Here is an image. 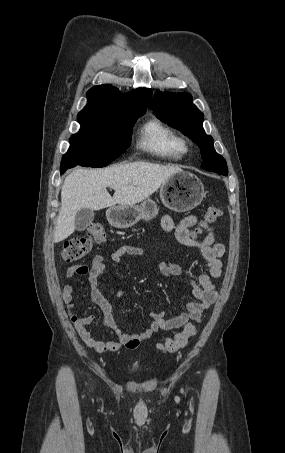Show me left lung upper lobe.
<instances>
[{
    "instance_id": "left-lung-upper-lobe-1",
    "label": "left lung upper lobe",
    "mask_w": 285,
    "mask_h": 453,
    "mask_svg": "<svg viewBox=\"0 0 285 453\" xmlns=\"http://www.w3.org/2000/svg\"><path fill=\"white\" fill-rule=\"evenodd\" d=\"M154 114L169 126L181 130L201 148L205 170L228 175L225 159L214 149V140L206 135L202 127L203 113L192 104L188 93H156L149 103Z\"/></svg>"
}]
</instances>
